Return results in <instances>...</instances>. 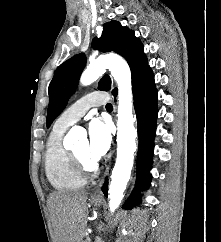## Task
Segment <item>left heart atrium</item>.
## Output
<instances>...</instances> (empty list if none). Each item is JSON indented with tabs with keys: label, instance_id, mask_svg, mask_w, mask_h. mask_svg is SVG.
Wrapping results in <instances>:
<instances>
[{
	"label": "left heart atrium",
	"instance_id": "1",
	"mask_svg": "<svg viewBox=\"0 0 221 242\" xmlns=\"http://www.w3.org/2000/svg\"><path fill=\"white\" fill-rule=\"evenodd\" d=\"M88 155L96 163L108 151L111 144L109 126L100 119H93L88 125Z\"/></svg>",
	"mask_w": 221,
	"mask_h": 242
}]
</instances>
